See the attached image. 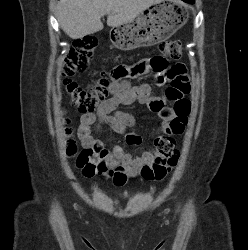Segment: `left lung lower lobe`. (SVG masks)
Listing matches in <instances>:
<instances>
[{"instance_id":"left-lung-lower-lobe-1","label":"left lung lower lobe","mask_w":248,"mask_h":250,"mask_svg":"<svg viewBox=\"0 0 248 250\" xmlns=\"http://www.w3.org/2000/svg\"><path fill=\"white\" fill-rule=\"evenodd\" d=\"M184 2H188V3H194V1L193 0H183Z\"/></svg>"}]
</instances>
